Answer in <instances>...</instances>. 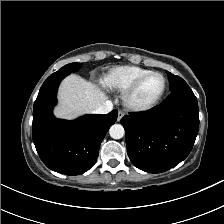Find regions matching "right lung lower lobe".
<instances>
[{
	"mask_svg": "<svg viewBox=\"0 0 224 224\" xmlns=\"http://www.w3.org/2000/svg\"><path fill=\"white\" fill-rule=\"evenodd\" d=\"M67 75L55 72L41 86L33 107L32 134L36 150L49 169L79 175L94 165L100 143L117 119V110L74 121L55 118L52 109L57 103V89Z\"/></svg>",
	"mask_w": 224,
	"mask_h": 224,
	"instance_id": "obj_1",
	"label": "right lung lower lobe"
}]
</instances>
